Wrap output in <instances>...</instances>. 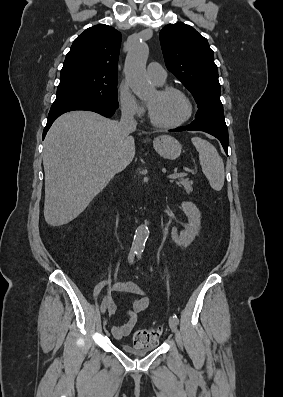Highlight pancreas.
I'll return each mask as SVG.
<instances>
[{"label": "pancreas", "instance_id": "cf45deb5", "mask_svg": "<svg viewBox=\"0 0 283 397\" xmlns=\"http://www.w3.org/2000/svg\"><path fill=\"white\" fill-rule=\"evenodd\" d=\"M172 182V181H171ZM176 184L179 186V187H183V189L186 191V193H191L192 191H193V182L192 181H190V180H188V179H183V178H181V179H178L177 181H176Z\"/></svg>", "mask_w": 283, "mask_h": 397}]
</instances>
